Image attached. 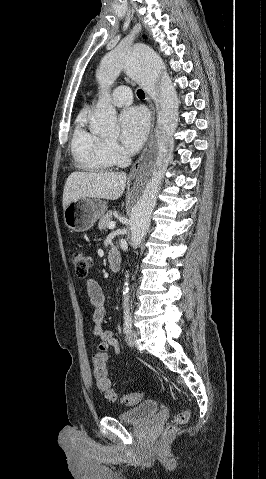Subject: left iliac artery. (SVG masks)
Masks as SVG:
<instances>
[{"label": "left iliac artery", "mask_w": 266, "mask_h": 479, "mask_svg": "<svg viewBox=\"0 0 266 479\" xmlns=\"http://www.w3.org/2000/svg\"><path fill=\"white\" fill-rule=\"evenodd\" d=\"M132 328V318L129 313H125L124 315V333H128Z\"/></svg>", "instance_id": "1"}]
</instances>
